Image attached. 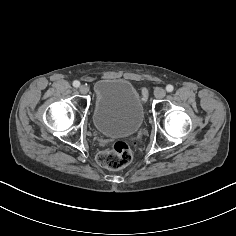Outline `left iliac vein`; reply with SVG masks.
I'll list each match as a JSON object with an SVG mask.
<instances>
[{"label": "left iliac vein", "mask_w": 236, "mask_h": 236, "mask_svg": "<svg viewBox=\"0 0 236 236\" xmlns=\"http://www.w3.org/2000/svg\"><path fill=\"white\" fill-rule=\"evenodd\" d=\"M155 97L157 99H162L165 97L166 95V91L163 88H158L155 93H154Z\"/></svg>", "instance_id": "left-iliac-vein-1"}]
</instances>
